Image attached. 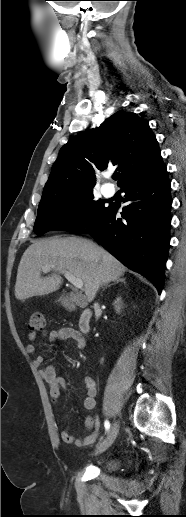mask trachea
I'll list each match as a JSON object with an SVG mask.
<instances>
[{"label":"trachea","instance_id":"trachea-1","mask_svg":"<svg viewBox=\"0 0 186 517\" xmlns=\"http://www.w3.org/2000/svg\"><path fill=\"white\" fill-rule=\"evenodd\" d=\"M119 176H120V173H114L113 174V179L114 180H118Z\"/></svg>","mask_w":186,"mask_h":517}]
</instances>
